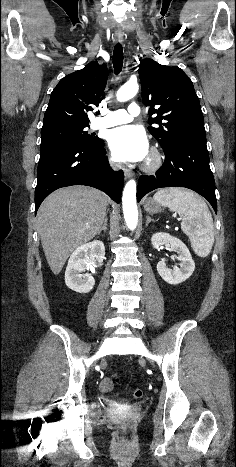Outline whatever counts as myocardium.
I'll list each match as a JSON object with an SVG mask.
<instances>
[{"mask_svg": "<svg viewBox=\"0 0 236 467\" xmlns=\"http://www.w3.org/2000/svg\"><path fill=\"white\" fill-rule=\"evenodd\" d=\"M163 161H164V156L162 152L157 148H153L144 165V169L148 172H154L162 166Z\"/></svg>", "mask_w": 236, "mask_h": 467, "instance_id": "myocardium-1", "label": "myocardium"}]
</instances>
